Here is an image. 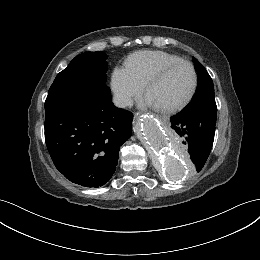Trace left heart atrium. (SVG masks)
I'll return each mask as SVG.
<instances>
[{"label": "left heart atrium", "instance_id": "obj_1", "mask_svg": "<svg viewBox=\"0 0 260 260\" xmlns=\"http://www.w3.org/2000/svg\"><path fill=\"white\" fill-rule=\"evenodd\" d=\"M144 103L149 106H156L148 97L145 98Z\"/></svg>", "mask_w": 260, "mask_h": 260}]
</instances>
